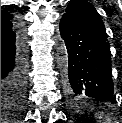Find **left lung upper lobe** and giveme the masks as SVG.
<instances>
[{"label":"left lung upper lobe","mask_w":122,"mask_h":123,"mask_svg":"<svg viewBox=\"0 0 122 123\" xmlns=\"http://www.w3.org/2000/svg\"><path fill=\"white\" fill-rule=\"evenodd\" d=\"M66 15L88 25L107 37L104 23L95 8L83 0H74L66 8Z\"/></svg>","instance_id":"left-lung-upper-lobe-1"}]
</instances>
